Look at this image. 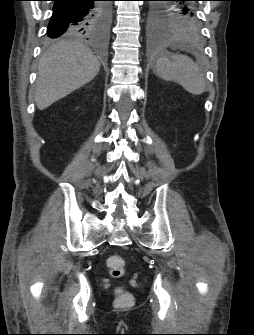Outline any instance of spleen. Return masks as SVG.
Masks as SVG:
<instances>
[{"mask_svg":"<svg viewBox=\"0 0 254 335\" xmlns=\"http://www.w3.org/2000/svg\"><path fill=\"white\" fill-rule=\"evenodd\" d=\"M168 45L171 48L175 47L173 42H169ZM153 71L161 79L175 81L193 95H201L206 90L203 73L186 55L170 54L165 48H161L157 53Z\"/></svg>","mask_w":254,"mask_h":335,"instance_id":"obj_1","label":"spleen"}]
</instances>
